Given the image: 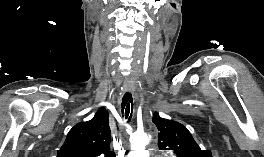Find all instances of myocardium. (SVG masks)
<instances>
[{
	"mask_svg": "<svg viewBox=\"0 0 264 157\" xmlns=\"http://www.w3.org/2000/svg\"><path fill=\"white\" fill-rule=\"evenodd\" d=\"M158 157H172V156L162 155V156H158Z\"/></svg>",
	"mask_w": 264,
	"mask_h": 157,
	"instance_id": "f54148a6",
	"label": "myocardium"
}]
</instances>
